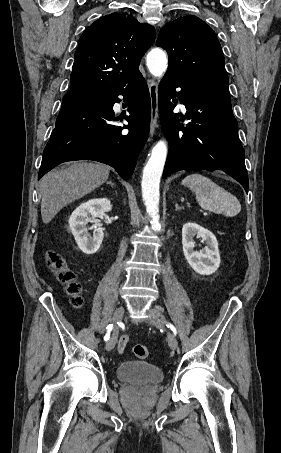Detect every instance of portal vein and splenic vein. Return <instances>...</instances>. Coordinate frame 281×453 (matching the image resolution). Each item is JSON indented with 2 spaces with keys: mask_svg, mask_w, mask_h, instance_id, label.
<instances>
[{
  "mask_svg": "<svg viewBox=\"0 0 281 453\" xmlns=\"http://www.w3.org/2000/svg\"><path fill=\"white\" fill-rule=\"evenodd\" d=\"M197 210L200 211L201 209L198 208ZM201 213H202L203 215H205V217H208V215H209V212H206L205 210H201Z\"/></svg>",
  "mask_w": 281,
  "mask_h": 453,
  "instance_id": "obj_1",
  "label": "portal vein and splenic vein"
}]
</instances>
